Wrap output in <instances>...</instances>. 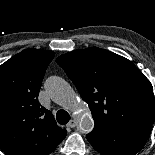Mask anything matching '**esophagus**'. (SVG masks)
Wrapping results in <instances>:
<instances>
[{
    "instance_id": "obj_1",
    "label": "esophagus",
    "mask_w": 155,
    "mask_h": 155,
    "mask_svg": "<svg viewBox=\"0 0 155 155\" xmlns=\"http://www.w3.org/2000/svg\"><path fill=\"white\" fill-rule=\"evenodd\" d=\"M77 124H78V121L75 120V119H72V120L69 121V123L67 124V127H69V128H74V127L77 126Z\"/></svg>"
}]
</instances>
